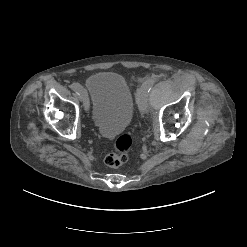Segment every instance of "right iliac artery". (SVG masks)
<instances>
[{"instance_id": "1", "label": "right iliac artery", "mask_w": 247, "mask_h": 247, "mask_svg": "<svg viewBox=\"0 0 247 247\" xmlns=\"http://www.w3.org/2000/svg\"><path fill=\"white\" fill-rule=\"evenodd\" d=\"M71 89L75 91L77 94L83 91V87L79 83L71 84Z\"/></svg>"}]
</instances>
